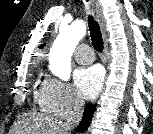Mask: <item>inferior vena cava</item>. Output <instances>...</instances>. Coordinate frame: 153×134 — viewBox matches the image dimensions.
<instances>
[{
  "instance_id": "602c4592",
  "label": "inferior vena cava",
  "mask_w": 153,
  "mask_h": 134,
  "mask_svg": "<svg viewBox=\"0 0 153 134\" xmlns=\"http://www.w3.org/2000/svg\"><path fill=\"white\" fill-rule=\"evenodd\" d=\"M84 101L80 98H75L73 101L72 111L63 124L64 131L74 129L80 122L83 114Z\"/></svg>"
}]
</instances>
